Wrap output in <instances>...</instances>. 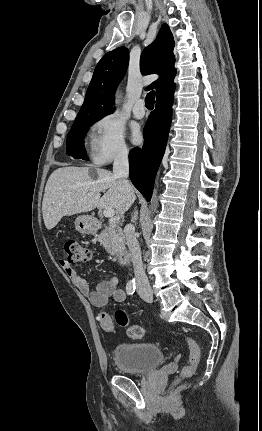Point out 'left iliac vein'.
Wrapping results in <instances>:
<instances>
[{
    "instance_id": "obj_1",
    "label": "left iliac vein",
    "mask_w": 262,
    "mask_h": 431,
    "mask_svg": "<svg viewBox=\"0 0 262 431\" xmlns=\"http://www.w3.org/2000/svg\"><path fill=\"white\" fill-rule=\"evenodd\" d=\"M142 297V296H141ZM146 302H148V303H151L152 301H153V299L152 298H150V299H147V298H144V297H142Z\"/></svg>"
}]
</instances>
